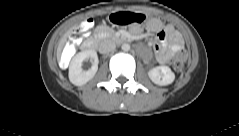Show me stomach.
I'll return each instance as SVG.
<instances>
[{"label": "stomach", "mask_w": 239, "mask_h": 136, "mask_svg": "<svg viewBox=\"0 0 239 136\" xmlns=\"http://www.w3.org/2000/svg\"><path fill=\"white\" fill-rule=\"evenodd\" d=\"M145 21V13H109V22L117 25V27L121 29L136 30L138 28V24H143Z\"/></svg>", "instance_id": "stomach-1"}]
</instances>
